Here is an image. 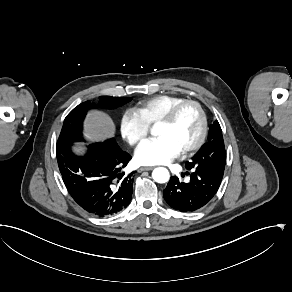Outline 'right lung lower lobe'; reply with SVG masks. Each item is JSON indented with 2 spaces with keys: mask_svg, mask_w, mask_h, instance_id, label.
Segmentation results:
<instances>
[{
  "mask_svg": "<svg viewBox=\"0 0 292 292\" xmlns=\"http://www.w3.org/2000/svg\"><path fill=\"white\" fill-rule=\"evenodd\" d=\"M73 143L56 145L58 167L74 201L88 213L108 217L125 209L132 198V173L122 169L131 155L108 142L90 144L84 156L72 152Z\"/></svg>",
  "mask_w": 292,
  "mask_h": 292,
  "instance_id": "98d812e1",
  "label": "right lung lower lobe"
}]
</instances>
